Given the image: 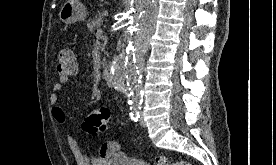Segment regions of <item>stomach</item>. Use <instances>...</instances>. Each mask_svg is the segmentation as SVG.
Returning a JSON list of instances; mask_svg holds the SVG:
<instances>
[{
  "mask_svg": "<svg viewBox=\"0 0 276 165\" xmlns=\"http://www.w3.org/2000/svg\"><path fill=\"white\" fill-rule=\"evenodd\" d=\"M86 16V8L79 0H68L59 13L60 20L67 25L83 21Z\"/></svg>",
  "mask_w": 276,
  "mask_h": 165,
  "instance_id": "0dacf381",
  "label": "stomach"
}]
</instances>
